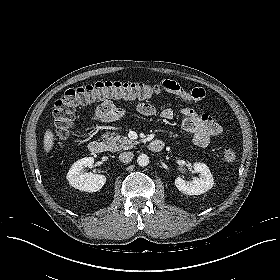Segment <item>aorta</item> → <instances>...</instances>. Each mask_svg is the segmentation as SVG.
Returning <instances> with one entry per match:
<instances>
[{"mask_svg": "<svg viewBox=\"0 0 280 280\" xmlns=\"http://www.w3.org/2000/svg\"><path fill=\"white\" fill-rule=\"evenodd\" d=\"M137 163L141 167H145L149 164V157L146 154H141L137 158Z\"/></svg>", "mask_w": 280, "mask_h": 280, "instance_id": "762f6f07", "label": "aorta"}]
</instances>
